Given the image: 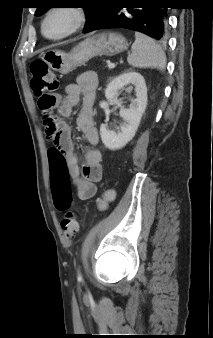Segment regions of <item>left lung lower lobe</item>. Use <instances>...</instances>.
<instances>
[{"mask_svg": "<svg viewBox=\"0 0 213 338\" xmlns=\"http://www.w3.org/2000/svg\"><path fill=\"white\" fill-rule=\"evenodd\" d=\"M121 5H130L123 9ZM167 8L159 0H103L93 22L84 33L101 28H125L164 42L167 38Z\"/></svg>", "mask_w": 213, "mask_h": 338, "instance_id": "1", "label": "left lung lower lobe"}]
</instances>
